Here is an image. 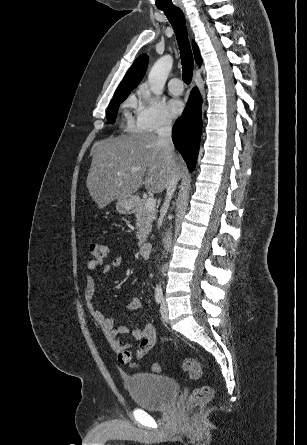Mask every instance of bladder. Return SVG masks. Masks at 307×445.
<instances>
[{
    "instance_id": "1",
    "label": "bladder",
    "mask_w": 307,
    "mask_h": 445,
    "mask_svg": "<svg viewBox=\"0 0 307 445\" xmlns=\"http://www.w3.org/2000/svg\"><path fill=\"white\" fill-rule=\"evenodd\" d=\"M125 386L133 402L148 410L168 408L180 392V385L175 379L148 372L128 376Z\"/></svg>"
}]
</instances>
